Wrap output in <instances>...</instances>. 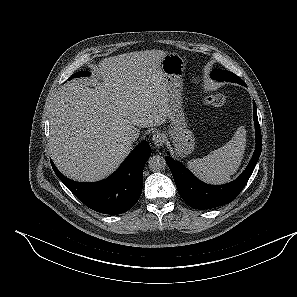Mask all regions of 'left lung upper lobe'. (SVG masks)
Wrapping results in <instances>:
<instances>
[{
  "instance_id": "obj_1",
  "label": "left lung upper lobe",
  "mask_w": 297,
  "mask_h": 297,
  "mask_svg": "<svg viewBox=\"0 0 297 297\" xmlns=\"http://www.w3.org/2000/svg\"><path fill=\"white\" fill-rule=\"evenodd\" d=\"M211 77L217 81L235 82L241 85H246L237 75L226 70H215L212 72Z\"/></svg>"
}]
</instances>
